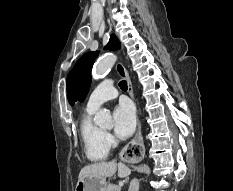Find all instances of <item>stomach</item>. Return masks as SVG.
Instances as JSON below:
<instances>
[{
  "instance_id": "obj_1",
  "label": "stomach",
  "mask_w": 233,
  "mask_h": 191,
  "mask_svg": "<svg viewBox=\"0 0 233 191\" xmlns=\"http://www.w3.org/2000/svg\"><path fill=\"white\" fill-rule=\"evenodd\" d=\"M107 186L105 178L85 177L78 180L75 191H106Z\"/></svg>"
}]
</instances>
